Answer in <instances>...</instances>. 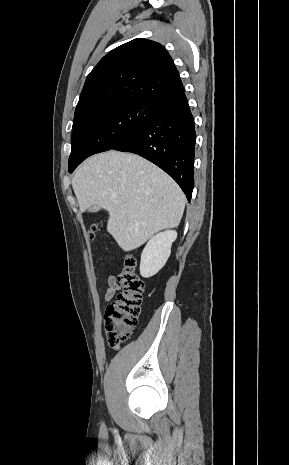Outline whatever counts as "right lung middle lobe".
<instances>
[{
    "label": "right lung middle lobe",
    "mask_w": 289,
    "mask_h": 465,
    "mask_svg": "<svg viewBox=\"0 0 289 465\" xmlns=\"http://www.w3.org/2000/svg\"><path fill=\"white\" fill-rule=\"evenodd\" d=\"M156 111V102L121 101L100 108L73 125L69 171L95 153L107 151L139 129Z\"/></svg>",
    "instance_id": "1"
}]
</instances>
